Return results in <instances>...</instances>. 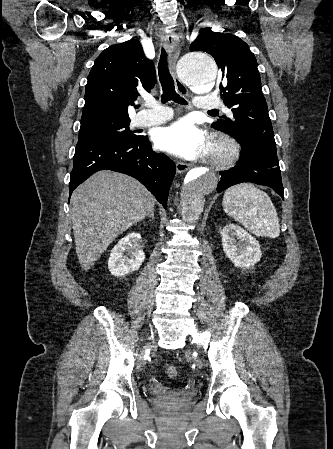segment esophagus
Here are the masks:
<instances>
[{
  "instance_id": "esophagus-1",
  "label": "esophagus",
  "mask_w": 333,
  "mask_h": 449,
  "mask_svg": "<svg viewBox=\"0 0 333 449\" xmlns=\"http://www.w3.org/2000/svg\"><path fill=\"white\" fill-rule=\"evenodd\" d=\"M164 45H165V48L167 49V51L171 53L170 68L175 77L176 87L180 93L187 94L188 90H187L186 86L177 78L176 73H175L176 61L179 56V46H178V41H177L176 35L174 33L165 34L164 35ZM189 167H190L189 164L183 163V162H177V164H176V170L178 173L186 172L189 169Z\"/></svg>"
}]
</instances>
